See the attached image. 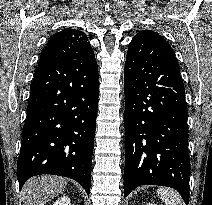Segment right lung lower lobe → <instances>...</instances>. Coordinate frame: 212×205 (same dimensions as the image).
<instances>
[{
    "mask_svg": "<svg viewBox=\"0 0 212 205\" xmlns=\"http://www.w3.org/2000/svg\"><path fill=\"white\" fill-rule=\"evenodd\" d=\"M98 96L95 58L37 66L17 165L20 189L32 176L53 174L76 180L89 194Z\"/></svg>",
    "mask_w": 212,
    "mask_h": 205,
    "instance_id": "right-lung-lower-lobe-1",
    "label": "right lung lower lobe"
}]
</instances>
